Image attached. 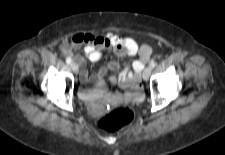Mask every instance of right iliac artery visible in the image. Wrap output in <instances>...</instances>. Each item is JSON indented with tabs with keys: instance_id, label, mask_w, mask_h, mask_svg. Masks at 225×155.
Listing matches in <instances>:
<instances>
[{
	"instance_id": "1",
	"label": "right iliac artery",
	"mask_w": 225,
	"mask_h": 155,
	"mask_svg": "<svg viewBox=\"0 0 225 155\" xmlns=\"http://www.w3.org/2000/svg\"><path fill=\"white\" fill-rule=\"evenodd\" d=\"M66 63L69 64V65H71V64H72V59L69 58V57H67V58H66Z\"/></svg>"
}]
</instances>
